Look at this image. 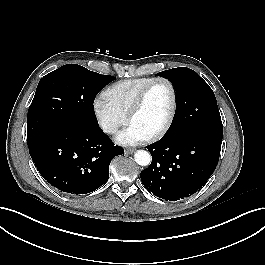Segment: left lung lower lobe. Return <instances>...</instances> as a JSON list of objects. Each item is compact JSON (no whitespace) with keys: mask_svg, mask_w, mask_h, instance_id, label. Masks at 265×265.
<instances>
[{"mask_svg":"<svg viewBox=\"0 0 265 265\" xmlns=\"http://www.w3.org/2000/svg\"><path fill=\"white\" fill-rule=\"evenodd\" d=\"M222 137L185 131L147 147L150 166L140 174L145 188L169 201L188 197L207 182L219 161Z\"/></svg>","mask_w":265,"mask_h":265,"instance_id":"1","label":"left lung lower lobe"}]
</instances>
